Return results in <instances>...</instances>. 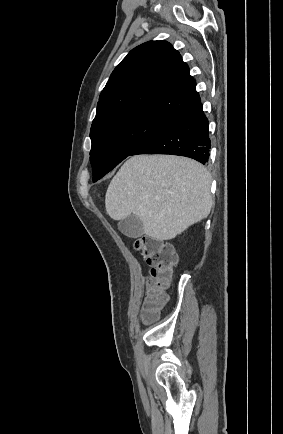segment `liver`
I'll list each match as a JSON object with an SVG mask.
<instances>
[{"mask_svg": "<svg viewBox=\"0 0 283 434\" xmlns=\"http://www.w3.org/2000/svg\"><path fill=\"white\" fill-rule=\"evenodd\" d=\"M211 176L195 160L174 155H136L111 180L105 208L113 220L137 216L144 233L170 240L206 218L213 205Z\"/></svg>", "mask_w": 283, "mask_h": 434, "instance_id": "obj_1", "label": "liver"}]
</instances>
